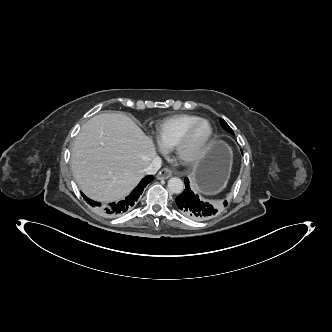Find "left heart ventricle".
<instances>
[{"mask_svg": "<svg viewBox=\"0 0 332 332\" xmlns=\"http://www.w3.org/2000/svg\"><path fill=\"white\" fill-rule=\"evenodd\" d=\"M208 134V126L207 124L203 123L200 124L192 133L189 142L186 146V152L191 153L194 151L206 138Z\"/></svg>", "mask_w": 332, "mask_h": 332, "instance_id": "left-heart-ventricle-1", "label": "left heart ventricle"}]
</instances>
